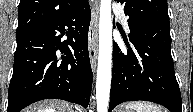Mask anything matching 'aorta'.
<instances>
[{"instance_id":"762f6f07","label":"aorta","mask_w":193,"mask_h":112,"mask_svg":"<svg viewBox=\"0 0 193 112\" xmlns=\"http://www.w3.org/2000/svg\"><path fill=\"white\" fill-rule=\"evenodd\" d=\"M112 69L111 0L100 1L99 55L96 81L97 112H107Z\"/></svg>"}]
</instances>
